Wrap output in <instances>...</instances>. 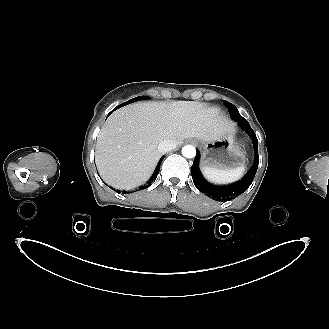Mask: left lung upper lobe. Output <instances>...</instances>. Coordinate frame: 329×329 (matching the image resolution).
Returning <instances> with one entry per match:
<instances>
[{
  "instance_id": "left-lung-upper-lobe-1",
  "label": "left lung upper lobe",
  "mask_w": 329,
  "mask_h": 329,
  "mask_svg": "<svg viewBox=\"0 0 329 329\" xmlns=\"http://www.w3.org/2000/svg\"><path fill=\"white\" fill-rule=\"evenodd\" d=\"M225 106L227 107V109L229 110L230 116L237 122H241L242 120H245V118H243L240 114L239 111L237 110V108L229 103L228 101H224Z\"/></svg>"
}]
</instances>
